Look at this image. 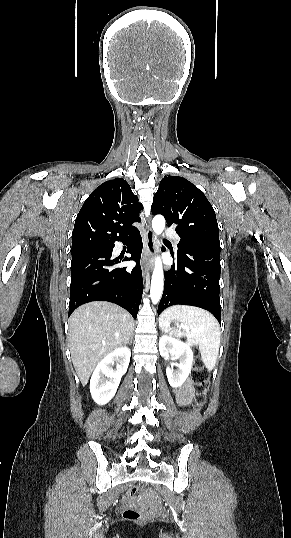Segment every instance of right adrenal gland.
<instances>
[{
  "instance_id": "2a0ac1e0",
  "label": "right adrenal gland",
  "mask_w": 291,
  "mask_h": 538,
  "mask_svg": "<svg viewBox=\"0 0 291 538\" xmlns=\"http://www.w3.org/2000/svg\"><path fill=\"white\" fill-rule=\"evenodd\" d=\"M132 339H133V337L131 336V338H130L128 344H132Z\"/></svg>"
}]
</instances>
